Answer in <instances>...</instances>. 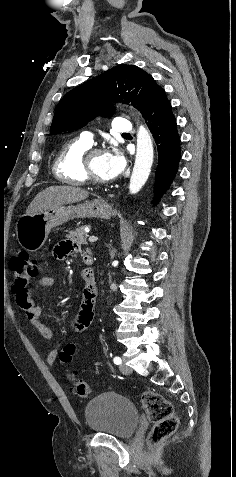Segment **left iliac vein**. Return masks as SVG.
<instances>
[{
  "instance_id": "left-iliac-vein-1",
  "label": "left iliac vein",
  "mask_w": 236,
  "mask_h": 477,
  "mask_svg": "<svg viewBox=\"0 0 236 477\" xmlns=\"http://www.w3.org/2000/svg\"><path fill=\"white\" fill-rule=\"evenodd\" d=\"M119 369L120 371L125 374V375H129L131 374L132 370L129 366H127L125 363H122L120 366H119Z\"/></svg>"
}]
</instances>
